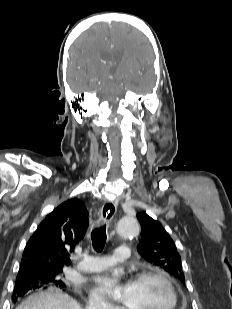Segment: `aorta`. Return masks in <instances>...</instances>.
<instances>
[{
    "label": "aorta",
    "instance_id": "aorta-1",
    "mask_svg": "<svg viewBox=\"0 0 232 309\" xmlns=\"http://www.w3.org/2000/svg\"><path fill=\"white\" fill-rule=\"evenodd\" d=\"M117 230L122 237H134L139 233V225L133 217H123L117 223ZM115 296H120V290L115 291Z\"/></svg>",
    "mask_w": 232,
    "mask_h": 309
}]
</instances>
